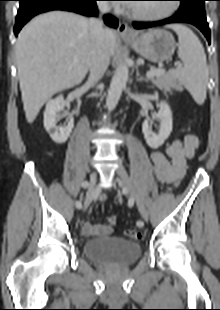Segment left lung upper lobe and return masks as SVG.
Returning <instances> with one entry per match:
<instances>
[{
    "label": "left lung upper lobe",
    "mask_w": 220,
    "mask_h": 310,
    "mask_svg": "<svg viewBox=\"0 0 220 310\" xmlns=\"http://www.w3.org/2000/svg\"><path fill=\"white\" fill-rule=\"evenodd\" d=\"M181 1L180 12H198L205 14V0H179Z\"/></svg>",
    "instance_id": "5c2ea615"
}]
</instances>
